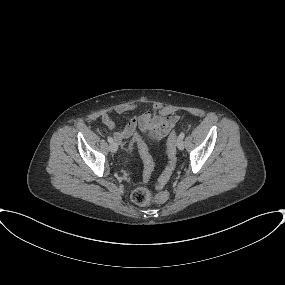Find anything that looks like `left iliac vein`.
<instances>
[{"label":"left iliac vein","instance_id":"left-iliac-vein-1","mask_svg":"<svg viewBox=\"0 0 285 285\" xmlns=\"http://www.w3.org/2000/svg\"><path fill=\"white\" fill-rule=\"evenodd\" d=\"M176 146L179 150L184 149V141L180 137L177 139Z\"/></svg>","mask_w":285,"mask_h":285}]
</instances>
